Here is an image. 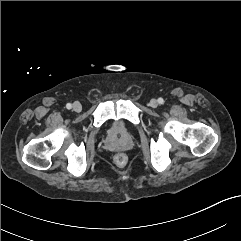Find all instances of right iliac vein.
I'll return each instance as SVG.
<instances>
[{
	"label": "right iliac vein",
	"mask_w": 241,
	"mask_h": 241,
	"mask_svg": "<svg viewBox=\"0 0 241 241\" xmlns=\"http://www.w3.org/2000/svg\"><path fill=\"white\" fill-rule=\"evenodd\" d=\"M72 108L73 111L80 112L82 110V105L79 102H74Z\"/></svg>",
	"instance_id": "1"
}]
</instances>
